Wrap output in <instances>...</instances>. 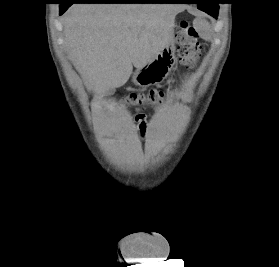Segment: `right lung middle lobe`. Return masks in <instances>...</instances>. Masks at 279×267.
I'll return each mask as SVG.
<instances>
[{
    "mask_svg": "<svg viewBox=\"0 0 279 267\" xmlns=\"http://www.w3.org/2000/svg\"><path fill=\"white\" fill-rule=\"evenodd\" d=\"M64 1H66V0H63L62 2H64ZM124 1H134V0H124Z\"/></svg>",
    "mask_w": 279,
    "mask_h": 267,
    "instance_id": "right-lung-middle-lobe-1",
    "label": "right lung middle lobe"
}]
</instances>
